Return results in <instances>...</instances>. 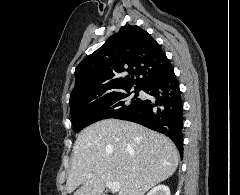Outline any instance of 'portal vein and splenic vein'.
<instances>
[{
	"instance_id": "18ae733b",
	"label": "portal vein and splenic vein",
	"mask_w": 240,
	"mask_h": 195,
	"mask_svg": "<svg viewBox=\"0 0 240 195\" xmlns=\"http://www.w3.org/2000/svg\"><path fill=\"white\" fill-rule=\"evenodd\" d=\"M91 173H87L86 177H90ZM106 187H109V189H112V191H119L121 187V183L119 181H106L105 183Z\"/></svg>"
}]
</instances>
